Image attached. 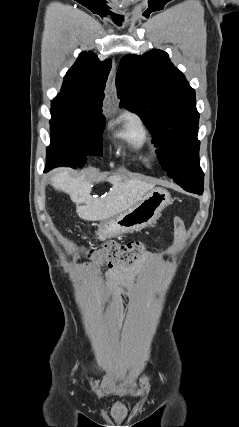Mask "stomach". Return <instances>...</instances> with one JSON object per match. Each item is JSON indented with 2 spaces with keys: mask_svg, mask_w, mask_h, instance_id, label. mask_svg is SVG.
I'll return each mask as SVG.
<instances>
[{
  "mask_svg": "<svg viewBox=\"0 0 239 427\" xmlns=\"http://www.w3.org/2000/svg\"><path fill=\"white\" fill-rule=\"evenodd\" d=\"M170 193L160 187L153 188L142 200L126 211L103 221L96 232L98 239H107L145 228L156 221L161 211L171 203Z\"/></svg>",
  "mask_w": 239,
  "mask_h": 427,
  "instance_id": "obj_1",
  "label": "stomach"
}]
</instances>
